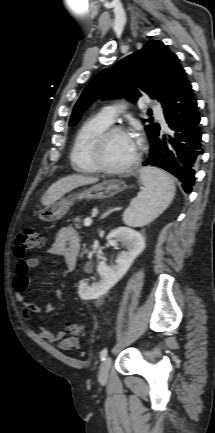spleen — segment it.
Here are the masks:
<instances>
[{
	"label": "spleen",
	"instance_id": "obj_1",
	"mask_svg": "<svg viewBox=\"0 0 215 433\" xmlns=\"http://www.w3.org/2000/svg\"><path fill=\"white\" fill-rule=\"evenodd\" d=\"M140 178L144 189L123 213L124 223L133 227L147 225L157 218L170 205L175 195L172 178L161 169L142 168Z\"/></svg>",
	"mask_w": 215,
	"mask_h": 433
}]
</instances>
